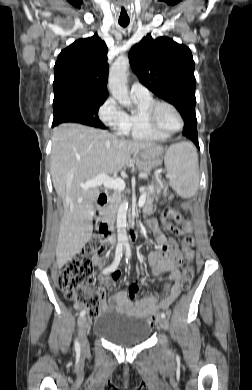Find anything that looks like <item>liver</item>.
Here are the masks:
<instances>
[{"label":"liver","mask_w":252,"mask_h":390,"mask_svg":"<svg viewBox=\"0 0 252 390\" xmlns=\"http://www.w3.org/2000/svg\"><path fill=\"white\" fill-rule=\"evenodd\" d=\"M160 146L150 142L126 141L105 130L75 123L54 128L51 150L53 186L64 204L56 259L59 268L70 261L90 240L96 187L83 189L80 184L99 174L119 172L140 150Z\"/></svg>","instance_id":"obj_1"}]
</instances>
